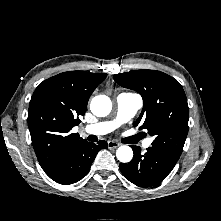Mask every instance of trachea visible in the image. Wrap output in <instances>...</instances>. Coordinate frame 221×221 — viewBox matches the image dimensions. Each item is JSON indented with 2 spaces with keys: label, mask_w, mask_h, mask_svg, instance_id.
<instances>
[{
  "label": "trachea",
  "mask_w": 221,
  "mask_h": 221,
  "mask_svg": "<svg viewBox=\"0 0 221 221\" xmlns=\"http://www.w3.org/2000/svg\"><path fill=\"white\" fill-rule=\"evenodd\" d=\"M133 138H134L135 140H139V139L143 138V134H142V133H139V134L135 135ZM90 139H91V138H90Z\"/></svg>",
  "instance_id": "trachea-1"
}]
</instances>
